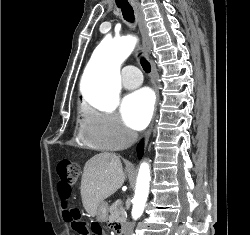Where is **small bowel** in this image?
<instances>
[{"label": "small bowel", "mask_w": 250, "mask_h": 235, "mask_svg": "<svg viewBox=\"0 0 250 235\" xmlns=\"http://www.w3.org/2000/svg\"><path fill=\"white\" fill-rule=\"evenodd\" d=\"M80 235H102L101 232L95 228H91L90 230L88 228H85L83 232L80 233Z\"/></svg>", "instance_id": "c3829d8e"}]
</instances>
